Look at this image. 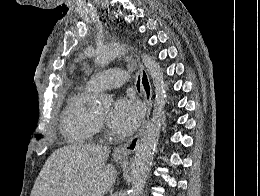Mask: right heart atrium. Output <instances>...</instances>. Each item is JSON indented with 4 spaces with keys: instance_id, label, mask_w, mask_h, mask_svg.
<instances>
[{
    "instance_id": "d8ad5b80",
    "label": "right heart atrium",
    "mask_w": 260,
    "mask_h": 196,
    "mask_svg": "<svg viewBox=\"0 0 260 196\" xmlns=\"http://www.w3.org/2000/svg\"><path fill=\"white\" fill-rule=\"evenodd\" d=\"M55 192H86V190H55Z\"/></svg>"
}]
</instances>
